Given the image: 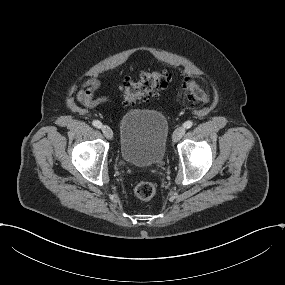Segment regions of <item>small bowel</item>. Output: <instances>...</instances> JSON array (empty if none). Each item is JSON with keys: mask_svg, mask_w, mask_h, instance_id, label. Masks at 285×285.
<instances>
[{"mask_svg": "<svg viewBox=\"0 0 285 285\" xmlns=\"http://www.w3.org/2000/svg\"><path fill=\"white\" fill-rule=\"evenodd\" d=\"M100 81L97 78H90L81 84L76 93V100L85 107L95 108L106 102V97H95L100 88Z\"/></svg>", "mask_w": 285, "mask_h": 285, "instance_id": "small-bowel-1", "label": "small bowel"}]
</instances>
